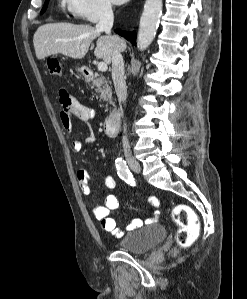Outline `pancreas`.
<instances>
[{"label": "pancreas", "instance_id": "1", "mask_svg": "<svg viewBox=\"0 0 247 299\" xmlns=\"http://www.w3.org/2000/svg\"><path fill=\"white\" fill-rule=\"evenodd\" d=\"M92 86L95 87L98 94L97 98L106 102L112 101V87L109 79H106L103 75H97L92 81Z\"/></svg>", "mask_w": 247, "mask_h": 299}]
</instances>
